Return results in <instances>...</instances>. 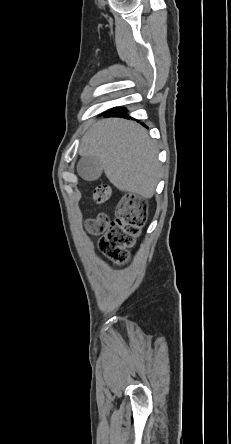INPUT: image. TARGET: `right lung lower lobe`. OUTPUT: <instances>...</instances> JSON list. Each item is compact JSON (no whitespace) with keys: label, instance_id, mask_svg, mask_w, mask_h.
Returning a JSON list of instances; mask_svg holds the SVG:
<instances>
[{"label":"right lung lower lobe","instance_id":"98d812e1","mask_svg":"<svg viewBox=\"0 0 231 444\" xmlns=\"http://www.w3.org/2000/svg\"><path fill=\"white\" fill-rule=\"evenodd\" d=\"M104 116L105 117H108V116H122V117L123 116H127L128 117V115H127V113H126L124 108H113V109H110V110H108L104 114Z\"/></svg>","mask_w":231,"mask_h":444}]
</instances>
